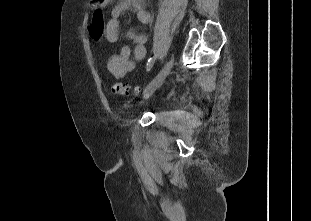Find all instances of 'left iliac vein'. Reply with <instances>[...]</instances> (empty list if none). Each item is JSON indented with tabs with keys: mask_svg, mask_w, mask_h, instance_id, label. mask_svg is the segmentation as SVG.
<instances>
[{
	"mask_svg": "<svg viewBox=\"0 0 311 221\" xmlns=\"http://www.w3.org/2000/svg\"><path fill=\"white\" fill-rule=\"evenodd\" d=\"M174 66V57H171L169 61L165 64L162 70L158 73V75L147 85L144 90V97H148L150 92H152L157 86H159L166 77L170 74L172 68Z\"/></svg>",
	"mask_w": 311,
	"mask_h": 221,
	"instance_id": "1",
	"label": "left iliac vein"
}]
</instances>
